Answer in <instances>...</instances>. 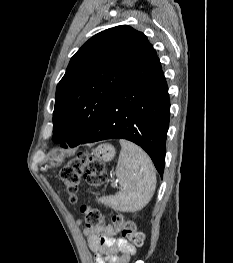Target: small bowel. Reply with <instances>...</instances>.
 I'll return each mask as SVG.
<instances>
[{
  "label": "small bowel",
  "mask_w": 233,
  "mask_h": 263,
  "mask_svg": "<svg viewBox=\"0 0 233 263\" xmlns=\"http://www.w3.org/2000/svg\"><path fill=\"white\" fill-rule=\"evenodd\" d=\"M82 223V220H78V224ZM84 234L95 253V263H129L136 254L135 248L125 237H120L119 231L111 225L87 226Z\"/></svg>",
  "instance_id": "small-bowel-1"
}]
</instances>
